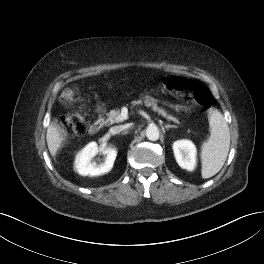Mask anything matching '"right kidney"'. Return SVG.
<instances>
[{
	"label": "right kidney",
	"instance_id": "obj_1",
	"mask_svg": "<svg viewBox=\"0 0 264 264\" xmlns=\"http://www.w3.org/2000/svg\"><path fill=\"white\" fill-rule=\"evenodd\" d=\"M99 149L96 142H91L86 145L77 155L75 159L76 171L82 176H98L108 173L117 156V151L114 148H105L102 153L106 155V159L101 164L92 162V158L98 154Z\"/></svg>",
	"mask_w": 264,
	"mask_h": 264
}]
</instances>
